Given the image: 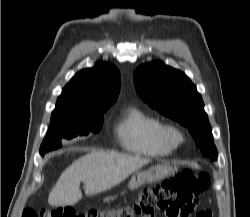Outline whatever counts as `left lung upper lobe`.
<instances>
[{
    "label": "left lung upper lobe",
    "instance_id": "1",
    "mask_svg": "<svg viewBox=\"0 0 250 217\" xmlns=\"http://www.w3.org/2000/svg\"><path fill=\"white\" fill-rule=\"evenodd\" d=\"M134 84L146 103L188 128L201 153L216 160L217 150L202 97L183 72L155 61L136 69Z\"/></svg>",
    "mask_w": 250,
    "mask_h": 217
}]
</instances>
